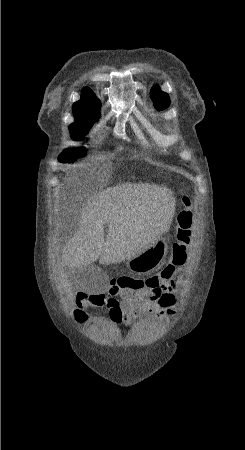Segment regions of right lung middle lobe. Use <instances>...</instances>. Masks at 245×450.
<instances>
[{"label":"right lung middle lobe","instance_id":"right-lung-middle-lobe-1","mask_svg":"<svg viewBox=\"0 0 245 450\" xmlns=\"http://www.w3.org/2000/svg\"><path fill=\"white\" fill-rule=\"evenodd\" d=\"M99 107L100 106L84 110L75 116V122L69 126L71 137L74 140H78L88 133L91 125L100 116ZM86 154L85 148L82 147L77 152L64 151L59 156L58 160L62 163L73 162L79 157H84Z\"/></svg>","mask_w":245,"mask_h":450}]
</instances>
